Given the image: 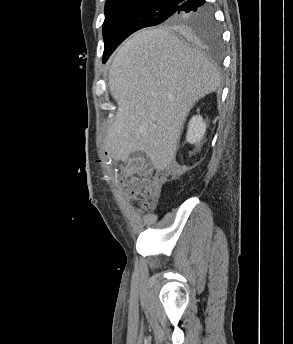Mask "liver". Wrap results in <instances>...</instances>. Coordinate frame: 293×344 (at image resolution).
<instances>
[{"mask_svg": "<svg viewBox=\"0 0 293 344\" xmlns=\"http://www.w3.org/2000/svg\"><path fill=\"white\" fill-rule=\"evenodd\" d=\"M218 69L167 29H147L129 38L109 70L118 104L105 147L116 160L144 152L155 170L175 159L181 130L194 104L216 91Z\"/></svg>", "mask_w": 293, "mask_h": 344, "instance_id": "obj_1", "label": "liver"}]
</instances>
